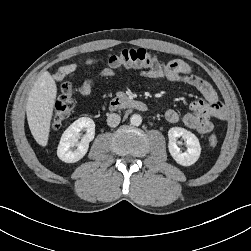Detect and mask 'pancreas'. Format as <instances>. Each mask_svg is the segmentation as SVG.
<instances>
[{
	"mask_svg": "<svg viewBox=\"0 0 251 251\" xmlns=\"http://www.w3.org/2000/svg\"><path fill=\"white\" fill-rule=\"evenodd\" d=\"M117 95L118 96H124V94L122 92H118Z\"/></svg>",
	"mask_w": 251,
	"mask_h": 251,
	"instance_id": "1",
	"label": "pancreas"
}]
</instances>
